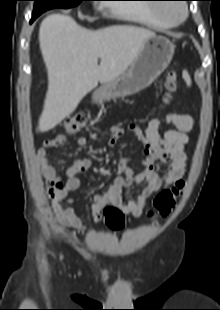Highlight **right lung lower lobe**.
I'll return each mask as SVG.
<instances>
[{"label":"right lung lower lobe","instance_id":"right-lung-lower-lobe-1","mask_svg":"<svg viewBox=\"0 0 220 310\" xmlns=\"http://www.w3.org/2000/svg\"><path fill=\"white\" fill-rule=\"evenodd\" d=\"M37 17L38 16H36V15H32V19H31L30 23H32Z\"/></svg>","mask_w":220,"mask_h":310}]
</instances>
